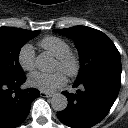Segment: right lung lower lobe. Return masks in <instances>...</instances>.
Returning <instances> with one entry per match:
<instances>
[{
  "mask_svg": "<svg viewBox=\"0 0 128 128\" xmlns=\"http://www.w3.org/2000/svg\"><path fill=\"white\" fill-rule=\"evenodd\" d=\"M23 74L15 79H0V128H16L27 117L31 102L40 96L39 90H20L25 82Z\"/></svg>",
  "mask_w": 128,
  "mask_h": 128,
  "instance_id": "98d812e1",
  "label": "right lung lower lobe"
}]
</instances>
